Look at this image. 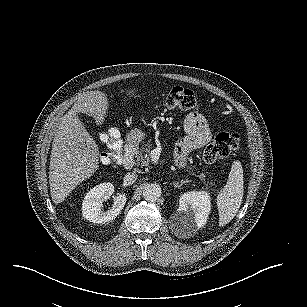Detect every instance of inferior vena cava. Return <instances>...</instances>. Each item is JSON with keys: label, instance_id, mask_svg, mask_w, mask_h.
I'll return each instance as SVG.
<instances>
[{"label": "inferior vena cava", "instance_id": "1", "mask_svg": "<svg viewBox=\"0 0 307 307\" xmlns=\"http://www.w3.org/2000/svg\"><path fill=\"white\" fill-rule=\"evenodd\" d=\"M138 175L136 173H126L124 176V184L126 186L132 185L137 180Z\"/></svg>", "mask_w": 307, "mask_h": 307}]
</instances>
